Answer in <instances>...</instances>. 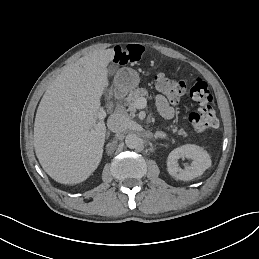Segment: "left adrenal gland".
I'll return each mask as SVG.
<instances>
[{
    "label": "left adrenal gland",
    "mask_w": 259,
    "mask_h": 259,
    "mask_svg": "<svg viewBox=\"0 0 259 259\" xmlns=\"http://www.w3.org/2000/svg\"><path fill=\"white\" fill-rule=\"evenodd\" d=\"M165 139L167 138V135L161 132H156L154 135V140H159V139Z\"/></svg>",
    "instance_id": "a2214340"
}]
</instances>
